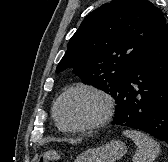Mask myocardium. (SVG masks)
<instances>
[{"mask_svg":"<svg viewBox=\"0 0 168 162\" xmlns=\"http://www.w3.org/2000/svg\"><path fill=\"white\" fill-rule=\"evenodd\" d=\"M90 92L97 96L103 103V111L102 114L95 120L78 126H67L62 123L60 116H59V106L63 99L68 95L75 93V92ZM114 113V102L112 97L104 90L89 84H77L75 86L69 87L63 93L59 95L56 99L54 106H53V116L57 126L67 132H84L90 131L97 128H100L106 125L109 120L111 119Z\"/></svg>","mask_w":168,"mask_h":162,"instance_id":"1","label":"myocardium"}]
</instances>
